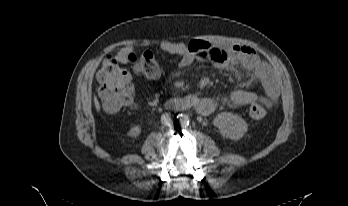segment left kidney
<instances>
[{
    "instance_id": "1",
    "label": "left kidney",
    "mask_w": 348,
    "mask_h": 206,
    "mask_svg": "<svg viewBox=\"0 0 348 206\" xmlns=\"http://www.w3.org/2000/svg\"><path fill=\"white\" fill-rule=\"evenodd\" d=\"M214 126L219 129L223 137L232 140H239L248 130V124L240 116L230 113L222 112L218 114L213 121Z\"/></svg>"
}]
</instances>
